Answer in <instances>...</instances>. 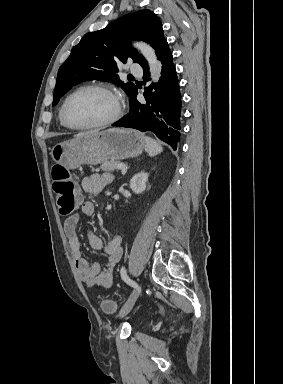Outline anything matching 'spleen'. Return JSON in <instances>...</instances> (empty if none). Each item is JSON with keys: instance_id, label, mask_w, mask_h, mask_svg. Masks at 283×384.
I'll return each instance as SVG.
<instances>
[{"instance_id": "obj_1", "label": "spleen", "mask_w": 283, "mask_h": 384, "mask_svg": "<svg viewBox=\"0 0 283 384\" xmlns=\"http://www.w3.org/2000/svg\"><path fill=\"white\" fill-rule=\"evenodd\" d=\"M144 140L146 142L145 150L147 154H149V156H157V154H161V152H163L162 146H160V144H158L156 140H152V138H147V136H145Z\"/></svg>"}]
</instances>
